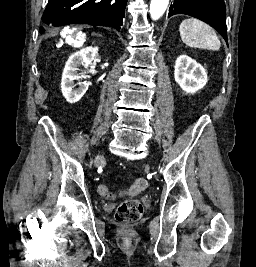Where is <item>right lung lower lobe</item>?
<instances>
[{"instance_id":"obj_1","label":"right lung lower lobe","mask_w":256,"mask_h":267,"mask_svg":"<svg viewBox=\"0 0 256 267\" xmlns=\"http://www.w3.org/2000/svg\"><path fill=\"white\" fill-rule=\"evenodd\" d=\"M127 0H49L43 13L44 26L72 23L111 26L120 30ZM44 27L40 28V33Z\"/></svg>"}]
</instances>
